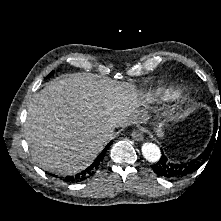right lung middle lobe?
<instances>
[{"label": "right lung middle lobe", "mask_w": 221, "mask_h": 221, "mask_svg": "<svg viewBox=\"0 0 221 221\" xmlns=\"http://www.w3.org/2000/svg\"><path fill=\"white\" fill-rule=\"evenodd\" d=\"M53 72H54V71H52V72L48 75V77L51 76V75L53 74Z\"/></svg>", "instance_id": "obj_1"}]
</instances>
